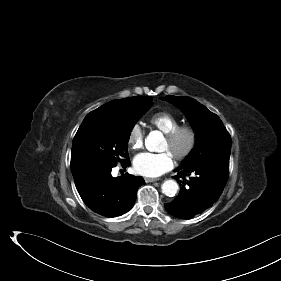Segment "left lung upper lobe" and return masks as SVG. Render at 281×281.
<instances>
[{
    "label": "left lung upper lobe",
    "instance_id": "5c2ea615",
    "mask_svg": "<svg viewBox=\"0 0 281 281\" xmlns=\"http://www.w3.org/2000/svg\"><path fill=\"white\" fill-rule=\"evenodd\" d=\"M165 100L181 108L196 133V146L181 166H194L203 162L229 163L231 137L216 114L189 97L168 95Z\"/></svg>",
    "mask_w": 281,
    "mask_h": 281
}]
</instances>
